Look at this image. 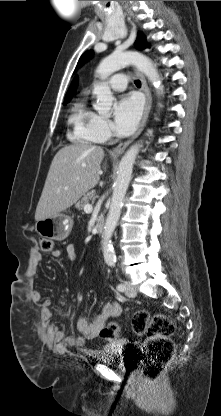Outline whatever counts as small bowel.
I'll list each match as a JSON object with an SVG mask.
<instances>
[{"mask_svg": "<svg viewBox=\"0 0 221 416\" xmlns=\"http://www.w3.org/2000/svg\"><path fill=\"white\" fill-rule=\"evenodd\" d=\"M67 257L70 261H75L77 258L76 247L74 244H68L66 246ZM55 258L61 257L60 250L55 249L52 253ZM42 262V255L38 251L32 253L30 260L28 274L34 276L37 272L38 265ZM35 301L42 306L41 314L46 322H50L53 310L51 309V301L49 299H42L41 295L36 292L34 294ZM61 312L60 310H58ZM121 314V306L116 301H108L103 305L102 311L92 321H88L85 317L81 316L77 320V330L80 334L79 337L66 336L65 333L59 330L57 327L51 325L50 333L54 340L59 344H68L70 346H79L84 343L86 339H93L100 334V330L105 325L107 320L111 318H117Z\"/></svg>", "mask_w": 221, "mask_h": 416, "instance_id": "obj_1", "label": "small bowel"}]
</instances>
